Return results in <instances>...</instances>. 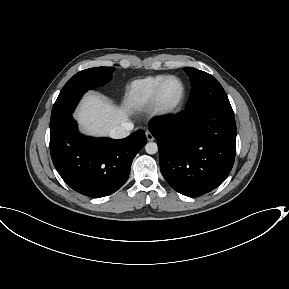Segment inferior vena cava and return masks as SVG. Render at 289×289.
Returning a JSON list of instances; mask_svg holds the SVG:
<instances>
[{
  "mask_svg": "<svg viewBox=\"0 0 289 289\" xmlns=\"http://www.w3.org/2000/svg\"><path fill=\"white\" fill-rule=\"evenodd\" d=\"M134 124L131 122H123L120 125L114 127L110 131V136L114 139H122L127 137L130 134V131L133 130Z\"/></svg>",
  "mask_w": 289,
  "mask_h": 289,
  "instance_id": "602c4592",
  "label": "inferior vena cava"
}]
</instances>
